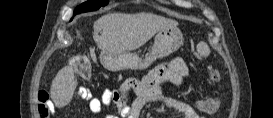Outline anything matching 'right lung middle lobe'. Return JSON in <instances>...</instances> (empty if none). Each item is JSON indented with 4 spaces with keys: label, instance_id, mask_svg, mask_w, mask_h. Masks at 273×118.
Returning a JSON list of instances; mask_svg holds the SVG:
<instances>
[{
    "label": "right lung middle lobe",
    "instance_id": "obj_1",
    "mask_svg": "<svg viewBox=\"0 0 273 118\" xmlns=\"http://www.w3.org/2000/svg\"><path fill=\"white\" fill-rule=\"evenodd\" d=\"M105 5H107V0H90L77 6L74 10L73 15L89 11H95Z\"/></svg>",
    "mask_w": 273,
    "mask_h": 118
}]
</instances>
